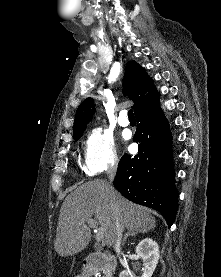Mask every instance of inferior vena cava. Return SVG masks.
<instances>
[{
  "label": "inferior vena cava",
  "mask_w": 221,
  "mask_h": 277,
  "mask_svg": "<svg viewBox=\"0 0 221 277\" xmlns=\"http://www.w3.org/2000/svg\"><path fill=\"white\" fill-rule=\"evenodd\" d=\"M116 171H117V164H111L108 167L107 176L110 181V184L113 182V180L115 178ZM109 186L112 187L111 185H109ZM115 236H116L115 242H114L115 248L119 249L120 243H121V237H122V229H121L119 217L116 212H115Z\"/></svg>",
  "instance_id": "602c4592"
}]
</instances>
